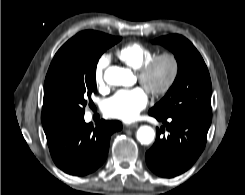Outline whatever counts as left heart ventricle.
Wrapping results in <instances>:
<instances>
[{
  "label": "left heart ventricle",
  "mask_w": 245,
  "mask_h": 195,
  "mask_svg": "<svg viewBox=\"0 0 245 195\" xmlns=\"http://www.w3.org/2000/svg\"><path fill=\"white\" fill-rule=\"evenodd\" d=\"M169 73V65L166 61L160 62L150 76V84L158 87L164 83Z\"/></svg>",
  "instance_id": "b2bd125f"
}]
</instances>
